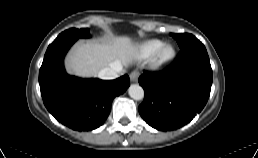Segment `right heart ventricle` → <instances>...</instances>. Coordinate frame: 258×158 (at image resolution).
<instances>
[{"label": "right heart ventricle", "instance_id": "1", "mask_svg": "<svg viewBox=\"0 0 258 158\" xmlns=\"http://www.w3.org/2000/svg\"><path fill=\"white\" fill-rule=\"evenodd\" d=\"M163 45V42L158 39H153L146 41L139 47V56L143 59L153 56V54L158 50L160 46Z\"/></svg>", "mask_w": 258, "mask_h": 158}]
</instances>
